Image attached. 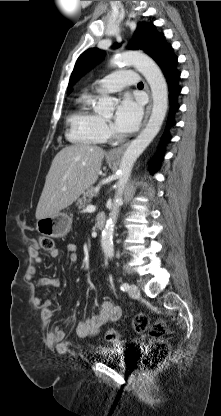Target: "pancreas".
Segmentation results:
<instances>
[{
	"instance_id": "cf45deb5",
	"label": "pancreas",
	"mask_w": 221,
	"mask_h": 416,
	"mask_svg": "<svg viewBox=\"0 0 221 416\" xmlns=\"http://www.w3.org/2000/svg\"><path fill=\"white\" fill-rule=\"evenodd\" d=\"M97 195L95 188L91 187L87 189L86 192L83 193L82 198H80L77 202V206L79 209L84 208L87 204H89L93 197Z\"/></svg>"
}]
</instances>
